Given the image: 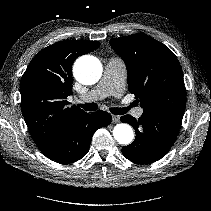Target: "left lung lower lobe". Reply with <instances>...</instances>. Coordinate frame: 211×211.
Listing matches in <instances>:
<instances>
[{
  "mask_svg": "<svg viewBox=\"0 0 211 211\" xmlns=\"http://www.w3.org/2000/svg\"><path fill=\"white\" fill-rule=\"evenodd\" d=\"M183 112H145L136 120L130 115L121 117L136 131L134 142L122 148L123 155L138 164L158 161L173 146L180 129Z\"/></svg>",
  "mask_w": 211,
  "mask_h": 211,
  "instance_id": "obj_1",
  "label": "left lung lower lobe"
}]
</instances>
